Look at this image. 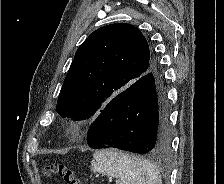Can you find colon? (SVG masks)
Returning a JSON list of instances; mask_svg holds the SVG:
<instances>
[{
	"mask_svg": "<svg viewBox=\"0 0 224 184\" xmlns=\"http://www.w3.org/2000/svg\"><path fill=\"white\" fill-rule=\"evenodd\" d=\"M45 174L58 175L66 184H92L75 173L73 169L64 164H51L45 170Z\"/></svg>",
	"mask_w": 224,
	"mask_h": 184,
	"instance_id": "1",
	"label": "colon"
}]
</instances>
